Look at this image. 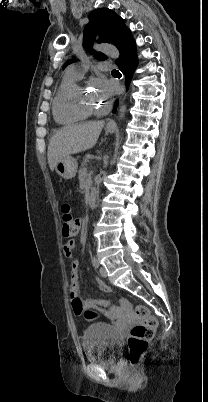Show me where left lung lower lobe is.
Here are the masks:
<instances>
[{
  "label": "left lung lower lobe",
  "instance_id": "0a47b994",
  "mask_svg": "<svg viewBox=\"0 0 208 402\" xmlns=\"http://www.w3.org/2000/svg\"><path fill=\"white\" fill-rule=\"evenodd\" d=\"M120 57L116 60V64L123 74L126 76V86L127 88L130 85L133 73L136 68V51H135V42L131 36L130 30L127 32L125 38L122 41L120 46ZM118 106V102H115V107L113 112H115L116 107Z\"/></svg>",
  "mask_w": 208,
  "mask_h": 402
}]
</instances>
